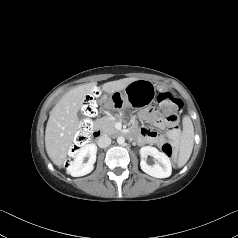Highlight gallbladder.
<instances>
[{"label": "gallbladder", "instance_id": "obj_1", "mask_svg": "<svg viewBox=\"0 0 238 238\" xmlns=\"http://www.w3.org/2000/svg\"><path fill=\"white\" fill-rule=\"evenodd\" d=\"M78 116H79L80 118H82V114H81V112H78Z\"/></svg>", "mask_w": 238, "mask_h": 238}]
</instances>
